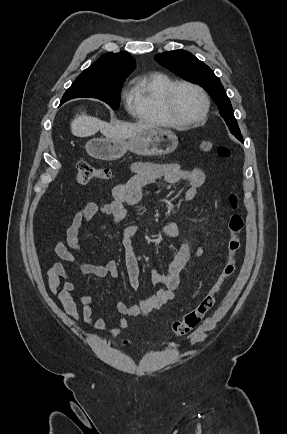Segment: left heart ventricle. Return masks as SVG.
Listing matches in <instances>:
<instances>
[{
  "label": "left heart ventricle",
  "mask_w": 287,
  "mask_h": 434,
  "mask_svg": "<svg viewBox=\"0 0 287 434\" xmlns=\"http://www.w3.org/2000/svg\"><path fill=\"white\" fill-rule=\"evenodd\" d=\"M174 110L182 119H194L202 113L203 101L196 90L180 86L174 94Z\"/></svg>",
  "instance_id": "left-heart-ventricle-1"
}]
</instances>
